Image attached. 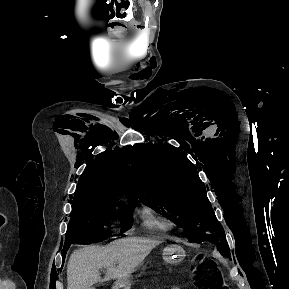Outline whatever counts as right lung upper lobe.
Wrapping results in <instances>:
<instances>
[{"label": "right lung upper lobe", "mask_w": 289, "mask_h": 289, "mask_svg": "<svg viewBox=\"0 0 289 289\" xmlns=\"http://www.w3.org/2000/svg\"><path fill=\"white\" fill-rule=\"evenodd\" d=\"M129 161L131 159L124 148L102 153L80 176L74 200L128 198L137 201Z\"/></svg>", "instance_id": "obj_1"}]
</instances>
